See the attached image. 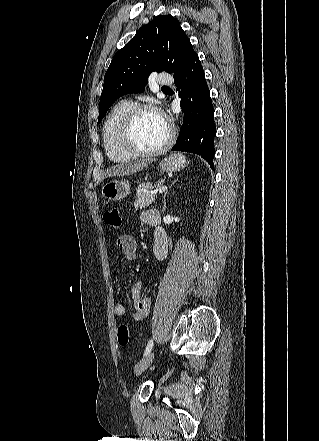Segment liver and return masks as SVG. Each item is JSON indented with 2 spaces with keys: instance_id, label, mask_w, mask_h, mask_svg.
<instances>
[{
  "instance_id": "1",
  "label": "liver",
  "mask_w": 319,
  "mask_h": 441,
  "mask_svg": "<svg viewBox=\"0 0 319 441\" xmlns=\"http://www.w3.org/2000/svg\"><path fill=\"white\" fill-rule=\"evenodd\" d=\"M152 159H145L141 161H136L133 163H122L116 166H112L107 169L104 173L105 177H113V176H123V175H132L137 173L138 171L145 168L148 164H150Z\"/></svg>"
}]
</instances>
